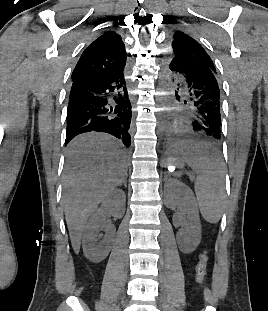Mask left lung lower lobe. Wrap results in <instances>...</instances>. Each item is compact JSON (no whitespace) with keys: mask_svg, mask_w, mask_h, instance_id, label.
Returning <instances> with one entry per match:
<instances>
[{"mask_svg":"<svg viewBox=\"0 0 268 311\" xmlns=\"http://www.w3.org/2000/svg\"><path fill=\"white\" fill-rule=\"evenodd\" d=\"M166 71L174 76L176 97L185 92L188 109L177 119L171 141L207 140L215 146L222 139L221 95L218 75L197 61H165ZM189 149V147H188ZM187 149V150H188ZM217 151V150H216Z\"/></svg>","mask_w":268,"mask_h":311,"instance_id":"left-lung-lower-lobe-1","label":"left lung lower lobe"}]
</instances>
